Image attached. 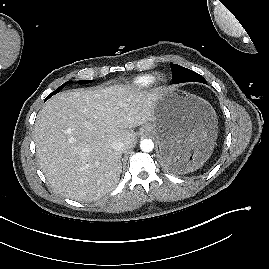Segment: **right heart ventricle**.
<instances>
[{"label": "right heart ventricle", "instance_id": "obj_1", "mask_svg": "<svg viewBox=\"0 0 269 269\" xmlns=\"http://www.w3.org/2000/svg\"><path fill=\"white\" fill-rule=\"evenodd\" d=\"M154 80L155 77L152 74H143L133 79L132 86L139 89L147 88L152 85Z\"/></svg>", "mask_w": 269, "mask_h": 269}]
</instances>
